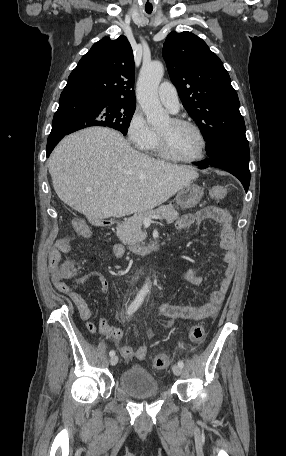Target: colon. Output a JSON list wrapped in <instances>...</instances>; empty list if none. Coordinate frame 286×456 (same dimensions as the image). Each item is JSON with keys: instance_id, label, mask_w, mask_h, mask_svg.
I'll use <instances>...</instances> for the list:
<instances>
[{"instance_id": "colon-1", "label": "colon", "mask_w": 286, "mask_h": 456, "mask_svg": "<svg viewBox=\"0 0 286 456\" xmlns=\"http://www.w3.org/2000/svg\"><path fill=\"white\" fill-rule=\"evenodd\" d=\"M228 190L225 186H215L209 190V194L213 199H220L227 195ZM76 230L81 235H89L90 229L88 225L78 219L75 222ZM77 269L72 262H66L62 265H58L55 269V275L59 280L63 279H72L76 276ZM205 336V328L203 325H195L190 330V339L198 343L203 340ZM147 355V348L145 346H140L134 351V356L138 359H144ZM169 364V360L167 356L160 354L154 357L153 365L156 369L162 370L165 369Z\"/></svg>"}]
</instances>
